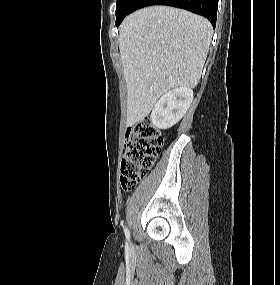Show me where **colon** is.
Returning <instances> with one entry per match:
<instances>
[{"label": "colon", "instance_id": "colon-1", "mask_svg": "<svg viewBox=\"0 0 280 285\" xmlns=\"http://www.w3.org/2000/svg\"><path fill=\"white\" fill-rule=\"evenodd\" d=\"M163 144L161 132L147 119L137 121L128 129L120 168V184L123 190H133L145 177Z\"/></svg>", "mask_w": 280, "mask_h": 285}]
</instances>
